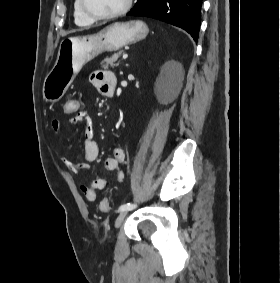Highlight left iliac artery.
Returning a JSON list of instances; mask_svg holds the SVG:
<instances>
[{
	"label": "left iliac artery",
	"instance_id": "left-iliac-artery-1",
	"mask_svg": "<svg viewBox=\"0 0 280 283\" xmlns=\"http://www.w3.org/2000/svg\"><path fill=\"white\" fill-rule=\"evenodd\" d=\"M135 207H136V205H134V204L126 203V204L121 205L119 207L118 211L131 210Z\"/></svg>",
	"mask_w": 280,
	"mask_h": 283
}]
</instances>
